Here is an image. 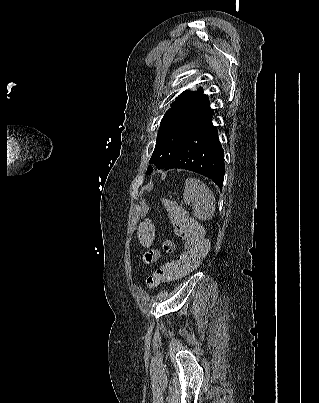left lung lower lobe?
<instances>
[{
  "mask_svg": "<svg viewBox=\"0 0 319 403\" xmlns=\"http://www.w3.org/2000/svg\"><path fill=\"white\" fill-rule=\"evenodd\" d=\"M209 108L190 129L185 141L177 149L165 170L178 168L200 173L222 189L225 166L223 148L212 124Z\"/></svg>",
  "mask_w": 319,
  "mask_h": 403,
  "instance_id": "0a47b994",
  "label": "left lung lower lobe"
}]
</instances>
